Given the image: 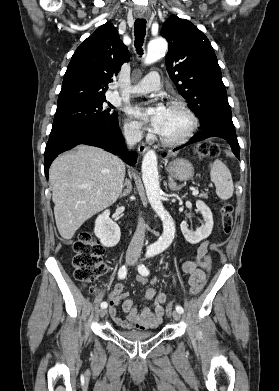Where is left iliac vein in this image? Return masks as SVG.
<instances>
[{
    "instance_id": "obj_1",
    "label": "left iliac vein",
    "mask_w": 279,
    "mask_h": 391,
    "mask_svg": "<svg viewBox=\"0 0 279 391\" xmlns=\"http://www.w3.org/2000/svg\"><path fill=\"white\" fill-rule=\"evenodd\" d=\"M172 316L177 321L181 320V313H179L178 311H173Z\"/></svg>"
}]
</instances>
